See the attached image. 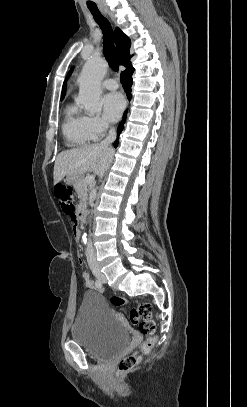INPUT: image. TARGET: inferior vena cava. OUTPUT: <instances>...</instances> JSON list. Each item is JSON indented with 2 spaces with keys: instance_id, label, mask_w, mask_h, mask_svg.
Returning <instances> with one entry per match:
<instances>
[{
  "instance_id": "602c4592",
  "label": "inferior vena cava",
  "mask_w": 247,
  "mask_h": 407,
  "mask_svg": "<svg viewBox=\"0 0 247 407\" xmlns=\"http://www.w3.org/2000/svg\"><path fill=\"white\" fill-rule=\"evenodd\" d=\"M115 138H116V131L114 128H111L109 130L108 136L100 143V145L102 147H109L111 145V143L115 140ZM102 176H103V174L100 175V177H102ZM86 257H87V261L89 264L96 263L95 250L93 248V244H92L91 240H89L87 243Z\"/></svg>"
}]
</instances>
